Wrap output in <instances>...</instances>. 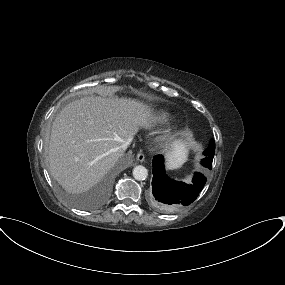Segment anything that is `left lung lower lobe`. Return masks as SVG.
Wrapping results in <instances>:
<instances>
[{
    "instance_id": "obj_1",
    "label": "left lung lower lobe",
    "mask_w": 285,
    "mask_h": 285,
    "mask_svg": "<svg viewBox=\"0 0 285 285\" xmlns=\"http://www.w3.org/2000/svg\"><path fill=\"white\" fill-rule=\"evenodd\" d=\"M152 165L153 180L150 202L159 211L171 213L190 205L198 197L206 183V177L199 172L195 173L192 184L169 178L165 173L162 155L155 156Z\"/></svg>"
}]
</instances>
